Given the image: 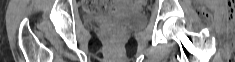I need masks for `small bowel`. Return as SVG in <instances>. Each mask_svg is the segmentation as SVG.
Instances as JSON below:
<instances>
[{
	"mask_svg": "<svg viewBox=\"0 0 235 62\" xmlns=\"http://www.w3.org/2000/svg\"><path fill=\"white\" fill-rule=\"evenodd\" d=\"M93 5L97 7V6L103 5V3H97V2H96V3H93ZM108 7H109V10H110V9H111V6L109 5Z\"/></svg>",
	"mask_w": 235,
	"mask_h": 62,
	"instance_id": "1",
	"label": "small bowel"
}]
</instances>
